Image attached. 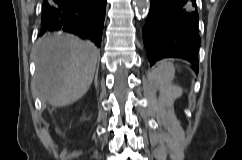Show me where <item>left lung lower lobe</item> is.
Returning a JSON list of instances; mask_svg holds the SVG:
<instances>
[{
	"label": "left lung lower lobe",
	"instance_id": "obj_1",
	"mask_svg": "<svg viewBox=\"0 0 242 160\" xmlns=\"http://www.w3.org/2000/svg\"><path fill=\"white\" fill-rule=\"evenodd\" d=\"M196 0H150V10L142 30L150 65L168 57L182 58L198 71Z\"/></svg>",
	"mask_w": 242,
	"mask_h": 160
}]
</instances>
